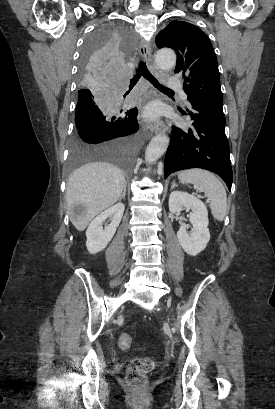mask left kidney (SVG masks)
Instances as JSON below:
<instances>
[{"label":"left kidney","mask_w":275,"mask_h":409,"mask_svg":"<svg viewBox=\"0 0 275 409\" xmlns=\"http://www.w3.org/2000/svg\"><path fill=\"white\" fill-rule=\"evenodd\" d=\"M184 207L193 211L189 217L194 231L189 235L186 231V225H181L177 233V239L185 253L195 257V255L206 249V245L210 241V233L209 229H207L209 225L208 211L204 202L194 194L173 190L169 196L170 213H180Z\"/></svg>","instance_id":"1"}]
</instances>
